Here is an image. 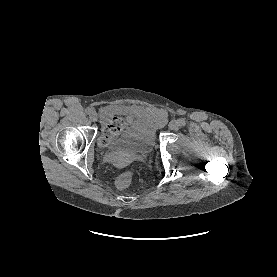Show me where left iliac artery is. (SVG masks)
Masks as SVG:
<instances>
[{
	"label": "left iliac artery",
	"mask_w": 277,
	"mask_h": 277,
	"mask_svg": "<svg viewBox=\"0 0 277 277\" xmlns=\"http://www.w3.org/2000/svg\"><path fill=\"white\" fill-rule=\"evenodd\" d=\"M178 121H179L180 126H185L186 123H185L184 119H179Z\"/></svg>",
	"instance_id": "obj_1"
}]
</instances>
